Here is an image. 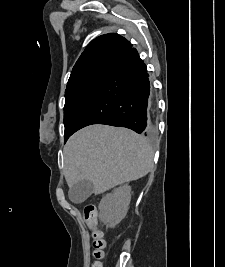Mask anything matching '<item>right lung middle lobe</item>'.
I'll list each match as a JSON object with an SVG mask.
<instances>
[{
	"instance_id": "obj_1",
	"label": "right lung middle lobe",
	"mask_w": 225,
	"mask_h": 267,
	"mask_svg": "<svg viewBox=\"0 0 225 267\" xmlns=\"http://www.w3.org/2000/svg\"><path fill=\"white\" fill-rule=\"evenodd\" d=\"M103 76L104 74L93 75L67 85L64 106L65 142L72 135L73 125L80 109Z\"/></svg>"
}]
</instances>
